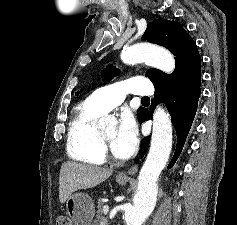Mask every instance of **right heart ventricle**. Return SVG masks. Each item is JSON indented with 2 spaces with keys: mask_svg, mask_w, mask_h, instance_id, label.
Wrapping results in <instances>:
<instances>
[{
  "mask_svg": "<svg viewBox=\"0 0 237 225\" xmlns=\"http://www.w3.org/2000/svg\"><path fill=\"white\" fill-rule=\"evenodd\" d=\"M103 114L89 98L79 106L68 132L67 151L72 159L95 165L104 163L97 126V120Z\"/></svg>",
  "mask_w": 237,
  "mask_h": 225,
  "instance_id": "e07e8e85",
  "label": "right heart ventricle"
}]
</instances>
